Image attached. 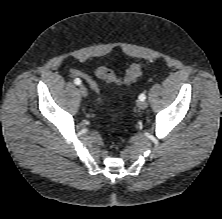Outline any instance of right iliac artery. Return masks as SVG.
<instances>
[{"label":"right iliac artery","mask_w":222,"mask_h":219,"mask_svg":"<svg viewBox=\"0 0 222 219\" xmlns=\"http://www.w3.org/2000/svg\"><path fill=\"white\" fill-rule=\"evenodd\" d=\"M74 83H75L76 85H80V84H81V80H80L79 78H76V79L74 80Z\"/></svg>","instance_id":"82829eb1"}]
</instances>
